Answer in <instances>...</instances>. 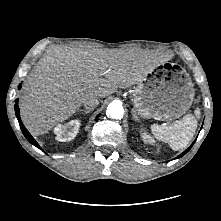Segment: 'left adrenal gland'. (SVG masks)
<instances>
[{
  "label": "left adrenal gland",
  "mask_w": 221,
  "mask_h": 221,
  "mask_svg": "<svg viewBox=\"0 0 221 221\" xmlns=\"http://www.w3.org/2000/svg\"><path fill=\"white\" fill-rule=\"evenodd\" d=\"M132 115H133V119H134L135 121H138V117H137V115H136V113H135L134 110H132Z\"/></svg>",
  "instance_id": "obj_1"
}]
</instances>
